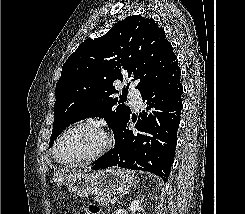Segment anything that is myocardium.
<instances>
[{
	"mask_svg": "<svg viewBox=\"0 0 245 214\" xmlns=\"http://www.w3.org/2000/svg\"><path fill=\"white\" fill-rule=\"evenodd\" d=\"M78 128H91L95 131H97L99 133V135L102 138V143L100 145V147L94 151L93 153H91L90 155H87L85 157H81V158H76V159H71V160H61L57 157V147L60 143V141L62 140V138L67 135L69 132L78 129ZM112 146V138L110 136V134L98 123L93 122V121H81L78 123H75L73 125H71L70 127H68L66 130H64L55 140L53 147H52V156L53 158L63 164V165H67V166H72V165H79V164H83V163H88V162H93L97 159H99L100 157H102Z\"/></svg>",
	"mask_w": 245,
	"mask_h": 214,
	"instance_id": "myocardium-1",
	"label": "myocardium"
}]
</instances>
